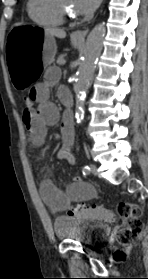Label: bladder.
<instances>
[{"instance_id": "obj_1", "label": "bladder", "mask_w": 148, "mask_h": 279, "mask_svg": "<svg viewBox=\"0 0 148 279\" xmlns=\"http://www.w3.org/2000/svg\"><path fill=\"white\" fill-rule=\"evenodd\" d=\"M53 226L58 239L77 241L84 245L104 242L110 233V227L105 223L68 216L56 217Z\"/></svg>"}]
</instances>
